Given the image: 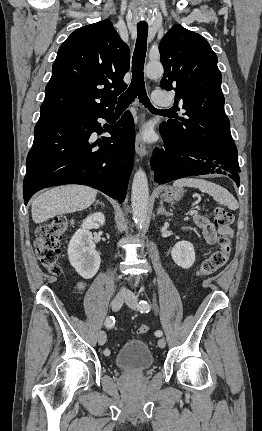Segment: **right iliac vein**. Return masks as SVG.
I'll list each match as a JSON object with an SVG mask.
<instances>
[{"label":"right iliac vein","mask_w":262,"mask_h":431,"mask_svg":"<svg viewBox=\"0 0 262 431\" xmlns=\"http://www.w3.org/2000/svg\"><path fill=\"white\" fill-rule=\"evenodd\" d=\"M126 298V293L123 291L118 292L111 302V307L114 311H117L122 306L124 299ZM107 340L106 333L104 331H100L98 335V343L99 345H104Z\"/></svg>","instance_id":"right-iliac-vein-1"}]
</instances>
